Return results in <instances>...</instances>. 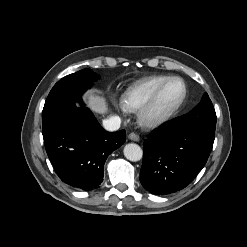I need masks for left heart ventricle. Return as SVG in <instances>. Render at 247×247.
Listing matches in <instances>:
<instances>
[{
  "instance_id": "1",
  "label": "left heart ventricle",
  "mask_w": 247,
  "mask_h": 247,
  "mask_svg": "<svg viewBox=\"0 0 247 247\" xmlns=\"http://www.w3.org/2000/svg\"><path fill=\"white\" fill-rule=\"evenodd\" d=\"M183 86L179 81L168 83L161 92L156 104V111H164L173 106L181 97Z\"/></svg>"
}]
</instances>
